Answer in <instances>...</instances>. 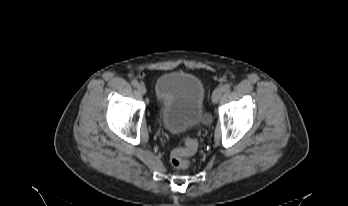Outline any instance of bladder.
Instances as JSON below:
<instances>
[{
	"mask_svg": "<svg viewBox=\"0 0 348 206\" xmlns=\"http://www.w3.org/2000/svg\"><path fill=\"white\" fill-rule=\"evenodd\" d=\"M158 118L174 136L196 130L207 122L205 88L195 75L167 72L155 82Z\"/></svg>",
	"mask_w": 348,
	"mask_h": 206,
	"instance_id": "31cf9c89",
	"label": "bladder"
}]
</instances>
